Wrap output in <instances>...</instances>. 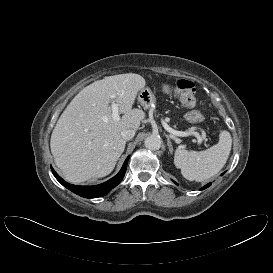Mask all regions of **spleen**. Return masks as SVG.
<instances>
[{
  "label": "spleen",
  "instance_id": "1",
  "mask_svg": "<svg viewBox=\"0 0 273 273\" xmlns=\"http://www.w3.org/2000/svg\"><path fill=\"white\" fill-rule=\"evenodd\" d=\"M232 138L228 131H221L219 142L204 151H188L177 148L174 164L181 169L184 178L202 182L216 175L229 157Z\"/></svg>",
  "mask_w": 273,
  "mask_h": 273
}]
</instances>
